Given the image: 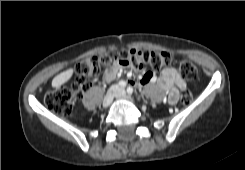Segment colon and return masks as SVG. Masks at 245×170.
<instances>
[{"label": "colon", "mask_w": 245, "mask_h": 170, "mask_svg": "<svg viewBox=\"0 0 245 170\" xmlns=\"http://www.w3.org/2000/svg\"><path fill=\"white\" fill-rule=\"evenodd\" d=\"M174 57L168 53L128 49L117 55L90 56L82 59L77 64V76L71 86H59L49 90L44 95V102L48 108L59 115H69L73 109L74 102L87 91L92 80L97 78L102 70L108 66H121L124 68H143L160 70L169 65ZM181 76L193 80L197 76L196 67L189 61H182L179 65ZM192 94L183 90L180 94V102L189 105L192 102Z\"/></svg>", "instance_id": "1"}]
</instances>
